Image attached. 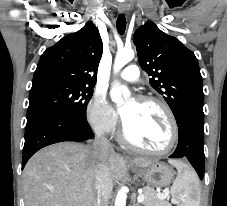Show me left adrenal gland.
<instances>
[{
    "mask_svg": "<svg viewBox=\"0 0 227 206\" xmlns=\"http://www.w3.org/2000/svg\"><path fill=\"white\" fill-rule=\"evenodd\" d=\"M135 194L133 195V198H132V200H133V206H140V204H138V203H135Z\"/></svg>",
    "mask_w": 227,
    "mask_h": 206,
    "instance_id": "left-adrenal-gland-1",
    "label": "left adrenal gland"
}]
</instances>
